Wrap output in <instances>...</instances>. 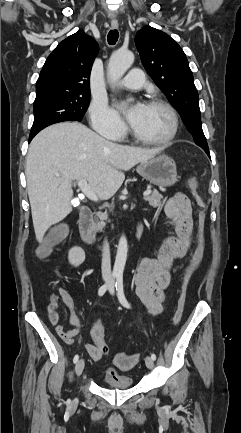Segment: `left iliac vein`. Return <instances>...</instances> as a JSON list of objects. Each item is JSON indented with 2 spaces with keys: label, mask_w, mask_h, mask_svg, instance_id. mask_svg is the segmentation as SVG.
Wrapping results in <instances>:
<instances>
[{
  "label": "left iliac vein",
  "mask_w": 241,
  "mask_h": 433,
  "mask_svg": "<svg viewBox=\"0 0 241 433\" xmlns=\"http://www.w3.org/2000/svg\"><path fill=\"white\" fill-rule=\"evenodd\" d=\"M109 292H110L111 294L114 293V283H113V282L110 284ZM145 364H146V366H147L149 369H152V368H153V365H154V361H153V359H152L150 356H147V357L145 358Z\"/></svg>",
  "instance_id": "4c4485c4"
}]
</instances>
